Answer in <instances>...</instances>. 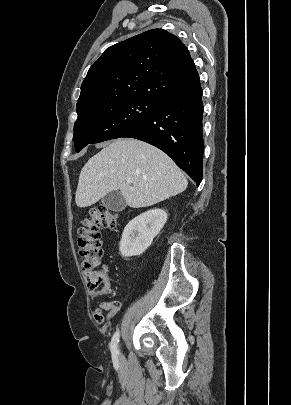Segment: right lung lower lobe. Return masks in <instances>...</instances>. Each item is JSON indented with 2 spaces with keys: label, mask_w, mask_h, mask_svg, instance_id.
<instances>
[{
  "label": "right lung lower lobe",
  "mask_w": 291,
  "mask_h": 405,
  "mask_svg": "<svg viewBox=\"0 0 291 405\" xmlns=\"http://www.w3.org/2000/svg\"><path fill=\"white\" fill-rule=\"evenodd\" d=\"M202 114V88L197 79L159 98L149 118L123 137L161 149L199 185L203 177Z\"/></svg>",
  "instance_id": "98d812e1"
}]
</instances>
